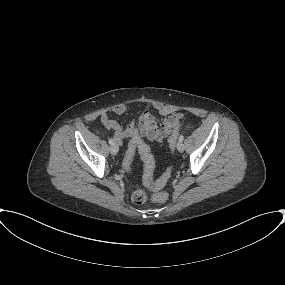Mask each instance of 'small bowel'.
<instances>
[{
	"label": "small bowel",
	"mask_w": 285,
	"mask_h": 285,
	"mask_svg": "<svg viewBox=\"0 0 285 285\" xmlns=\"http://www.w3.org/2000/svg\"><path fill=\"white\" fill-rule=\"evenodd\" d=\"M126 110L127 106L124 104L112 108V112L117 115L123 114ZM181 118V113L159 118L150 111H144L138 118H131L125 126L111 119L107 113L101 114L100 121L104 128L114 130V140L117 144H121L124 139L141 142V137L161 143L172 131L178 130ZM148 186L154 188L152 184Z\"/></svg>",
	"instance_id": "small-bowel-1"
}]
</instances>
